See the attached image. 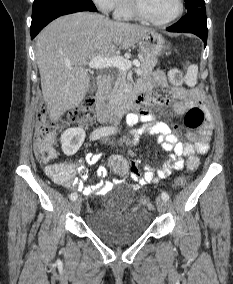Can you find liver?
<instances>
[{
    "label": "liver",
    "instance_id": "6515ba94",
    "mask_svg": "<svg viewBox=\"0 0 233 284\" xmlns=\"http://www.w3.org/2000/svg\"><path fill=\"white\" fill-rule=\"evenodd\" d=\"M148 32L152 30L88 12L60 17L45 27L37 36L35 55L51 120L85 98L89 60L113 57L118 47L128 49Z\"/></svg>",
    "mask_w": 233,
    "mask_h": 284
}]
</instances>
